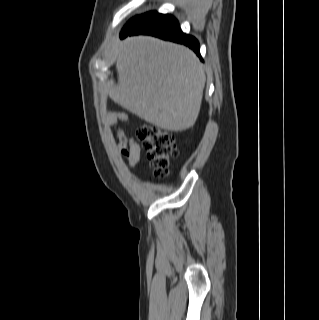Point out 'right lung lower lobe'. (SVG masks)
I'll list each match as a JSON object with an SVG mask.
<instances>
[{
	"label": "right lung lower lobe",
	"mask_w": 319,
	"mask_h": 320,
	"mask_svg": "<svg viewBox=\"0 0 319 320\" xmlns=\"http://www.w3.org/2000/svg\"><path fill=\"white\" fill-rule=\"evenodd\" d=\"M136 34H149L184 44L200 56L198 41L194 37L184 34L178 21L170 15L157 14L134 28H124L120 37L124 38Z\"/></svg>",
	"instance_id": "right-lung-lower-lobe-1"
}]
</instances>
